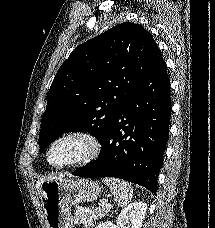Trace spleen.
Instances as JSON below:
<instances>
[{"mask_svg": "<svg viewBox=\"0 0 215 228\" xmlns=\"http://www.w3.org/2000/svg\"><path fill=\"white\" fill-rule=\"evenodd\" d=\"M102 182L110 188L115 200L118 202L119 208H124L132 200L133 188H131L128 182L116 180V178H103Z\"/></svg>", "mask_w": 215, "mask_h": 228, "instance_id": "spleen-1", "label": "spleen"}]
</instances>
